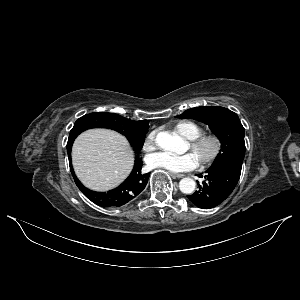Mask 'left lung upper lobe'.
<instances>
[{"label": "left lung upper lobe", "instance_id": "left-lung-upper-lobe-1", "mask_svg": "<svg viewBox=\"0 0 300 300\" xmlns=\"http://www.w3.org/2000/svg\"><path fill=\"white\" fill-rule=\"evenodd\" d=\"M177 117L208 124L220 139L221 150L212 166L224 161L242 164L245 155L244 127L236 113L220 106H203L188 109Z\"/></svg>", "mask_w": 300, "mask_h": 300}]
</instances>
